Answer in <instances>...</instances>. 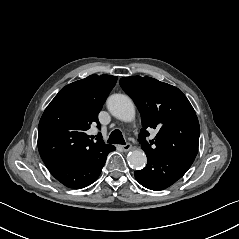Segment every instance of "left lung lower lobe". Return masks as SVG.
I'll use <instances>...</instances> for the list:
<instances>
[{"mask_svg":"<svg viewBox=\"0 0 239 239\" xmlns=\"http://www.w3.org/2000/svg\"><path fill=\"white\" fill-rule=\"evenodd\" d=\"M147 155V166L135 171L137 181L151 190H163L180 179L190 168L195 157L182 154Z\"/></svg>","mask_w":239,"mask_h":239,"instance_id":"1","label":"left lung lower lobe"}]
</instances>
